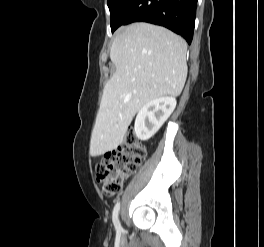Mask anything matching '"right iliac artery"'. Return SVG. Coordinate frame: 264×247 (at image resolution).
<instances>
[{
  "instance_id": "1",
  "label": "right iliac artery",
  "mask_w": 264,
  "mask_h": 247,
  "mask_svg": "<svg viewBox=\"0 0 264 247\" xmlns=\"http://www.w3.org/2000/svg\"><path fill=\"white\" fill-rule=\"evenodd\" d=\"M119 209H120V202H117L114 209H113L112 220H113L114 226L116 228V231L118 233H120L122 231V227H121L120 221L118 219Z\"/></svg>"
}]
</instances>
